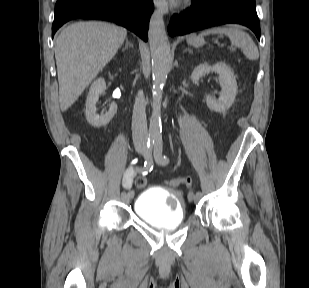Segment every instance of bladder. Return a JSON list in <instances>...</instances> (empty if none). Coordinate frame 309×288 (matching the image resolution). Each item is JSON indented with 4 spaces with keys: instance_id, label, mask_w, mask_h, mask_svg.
Wrapping results in <instances>:
<instances>
[{
    "instance_id": "1",
    "label": "bladder",
    "mask_w": 309,
    "mask_h": 288,
    "mask_svg": "<svg viewBox=\"0 0 309 288\" xmlns=\"http://www.w3.org/2000/svg\"><path fill=\"white\" fill-rule=\"evenodd\" d=\"M136 215L145 223L164 230L178 227L185 212L181 194L155 187L144 189L134 203Z\"/></svg>"
}]
</instances>
